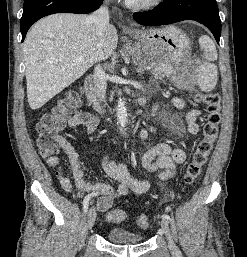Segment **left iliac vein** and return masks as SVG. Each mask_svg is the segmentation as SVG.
<instances>
[{"mask_svg":"<svg viewBox=\"0 0 247 257\" xmlns=\"http://www.w3.org/2000/svg\"><path fill=\"white\" fill-rule=\"evenodd\" d=\"M161 228H162L164 234L167 237L168 246H169V249H170L171 253L175 256H179L180 252H179V249H178L177 245L175 244V242L173 240L171 230H170V227H169V223H168L167 220H165V219L161 220Z\"/></svg>","mask_w":247,"mask_h":257,"instance_id":"left-iliac-vein-1","label":"left iliac vein"}]
</instances>
